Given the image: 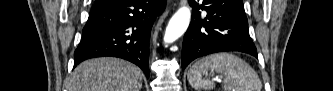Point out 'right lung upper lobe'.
<instances>
[{"mask_svg":"<svg viewBox=\"0 0 333 91\" xmlns=\"http://www.w3.org/2000/svg\"><path fill=\"white\" fill-rule=\"evenodd\" d=\"M101 1H106V0H96L95 2H101Z\"/></svg>","mask_w":333,"mask_h":91,"instance_id":"cb5924a9","label":"right lung upper lobe"}]
</instances>
